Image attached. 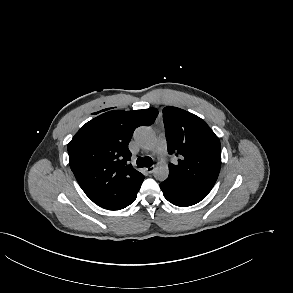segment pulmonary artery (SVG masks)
Returning <instances> with one entry per match:
<instances>
[{
    "label": "pulmonary artery",
    "mask_w": 293,
    "mask_h": 293,
    "mask_svg": "<svg viewBox=\"0 0 293 293\" xmlns=\"http://www.w3.org/2000/svg\"><path fill=\"white\" fill-rule=\"evenodd\" d=\"M156 151L160 155H165L167 153V143L164 136H160L158 138L157 144H156Z\"/></svg>",
    "instance_id": "obj_1"
}]
</instances>
